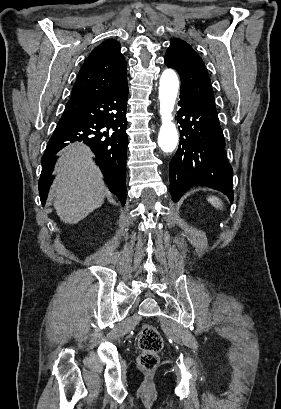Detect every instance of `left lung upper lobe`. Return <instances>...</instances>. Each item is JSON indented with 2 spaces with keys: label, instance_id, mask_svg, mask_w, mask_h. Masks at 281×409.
I'll use <instances>...</instances> for the list:
<instances>
[{
  "label": "left lung upper lobe",
  "instance_id": "5c2ea615",
  "mask_svg": "<svg viewBox=\"0 0 281 409\" xmlns=\"http://www.w3.org/2000/svg\"><path fill=\"white\" fill-rule=\"evenodd\" d=\"M165 64L179 73L180 91L189 93L197 100L215 108L214 94L205 65L188 43L172 39L165 54Z\"/></svg>",
  "mask_w": 281,
  "mask_h": 409
}]
</instances>
